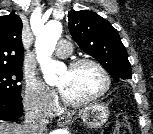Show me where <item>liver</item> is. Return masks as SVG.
Instances as JSON below:
<instances>
[{"label": "liver", "instance_id": "1", "mask_svg": "<svg viewBox=\"0 0 153 134\" xmlns=\"http://www.w3.org/2000/svg\"><path fill=\"white\" fill-rule=\"evenodd\" d=\"M0 134H25L24 125L0 121Z\"/></svg>", "mask_w": 153, "mask_h": 134}]
</instances>
